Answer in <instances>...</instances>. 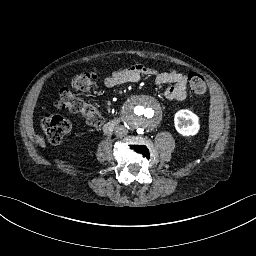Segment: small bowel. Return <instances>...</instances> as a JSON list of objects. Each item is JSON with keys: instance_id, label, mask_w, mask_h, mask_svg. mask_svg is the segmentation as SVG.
<instances>
[{"instance_id": "obj_1", "label": "small bowel", "mask_w": 256, "mask_h": 256, "mask_svg": "<svg viewBox=\"0 0 256 256\" xmlns=\"http://www.w3.org/2000/svg\"><path fill=\"white\" fill-rule=\"evenodd\" d=\"M143 75H154L157 84H172L164 91V96L169 100H184L188 93V80L185 74L169 70L157 72L152 68L142 65H133L119 69L105 78L103 85L107 88L119 87L128 82H135Z\"/></svg>"}]
</instances>
